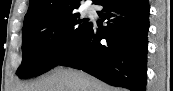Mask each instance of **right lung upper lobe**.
Masks as SVG:
<instances>
[{
	"mask_svg": "<svg viewBox=\"0 0 173 91\" xmlns=\"http://www.w3.org/2000/svg\"><path fill=\"white\" fill-rule=\"evenodd\" d=\"M79 6L80 0H30L23 28L68 16L75 13Z\"/></svg>",
	"mask_w": 173,
	"mask_h": 91,
	"instance_id": "obj_1",
	"label": "right lung upper lobe"
}]
</instances>
